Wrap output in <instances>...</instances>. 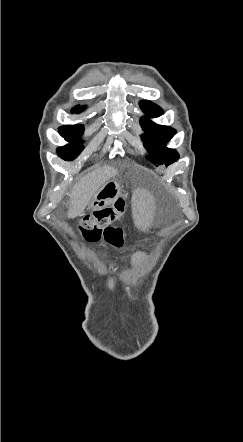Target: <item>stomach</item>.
Instances as JSON below:
<instances>
[{
	"mask_svg": "<svg viewBox=\"0 0 243 442\" xmlns=\"http://www.w3.org/2000/svg\"><path fill=\"white\" fill-rule=\"evenodd\" d=\"M120 184L114 180L106 182L93 196L88 206L89 210H98L114 202L120 195Z\"/></svg>",
	"mask_w": 243,
	"mask_h": 442,
	"instance_id": "1",
	"label": "stomach"
}]
</instances>
